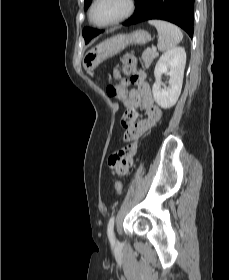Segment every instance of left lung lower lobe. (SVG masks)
<instances>
[{
    "label": "left lung lower lobe",
    "mask_w": 229,
    "mask_h": 280,
    "mask_svg": "<svg viewBox=\"0 0 229 280\" xmlns=\"http://www.w3.org/2000/svg\"><path fill=\"white\" fill-rule=\"evenodd\" d=\"M135 14L124 25L150 19L172 22L193 36L194 0H138Z\"/></svg>",
    "instance_id": "left-lung-lower-lobe-1"
}]
</instances>
